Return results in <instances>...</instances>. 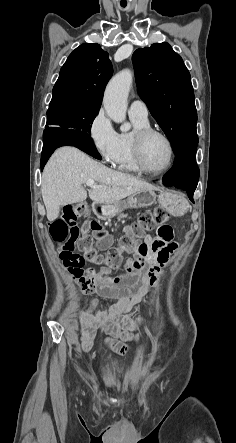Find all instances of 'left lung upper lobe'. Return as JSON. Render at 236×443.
I'll return each instance as SVG.
<instances>
[{
  "label": "left lung upper lobe",
  "instance_id": "1",
  "mask_svg": "<svg viewBox=\"0 0 236 443\" xmlns=\"http://www.w3.org/2000/svg\"><path fill=\"white\" fill-rule=\"evenodd\" d=\"M141 99L177 153L198 142L197 112L190 73L168 43L137 49L132 56Z\"/></svg>",
  "mask_w": 236,
  "mask_h": 443
}]
</instances>
